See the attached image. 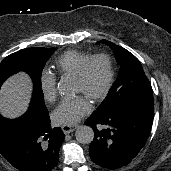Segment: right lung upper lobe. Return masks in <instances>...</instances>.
<instances>
[{"label":"right lung upper lobe","instance_id":"right-lung-upper-lobe-1","mask_svg":"<svg viewBox=\"0 0 171 171\" xmlns=\"http://www.w3.org/2000/svg\"><path fill=\"white\" fill-rule=\"evenodd\" d=\"M12 126H13V124L9 125L8 128H10V127H12Z\"/></svg>","mask_w":171,"mask_h":171}]
</instances>
